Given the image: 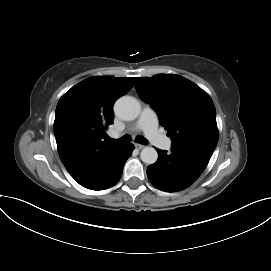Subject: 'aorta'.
Wrapping results in <instances>:
<instances>
[{"instance_id": "1", "label": "aorta", "mask_w": 271, "mask_h": 271, "mask_svg": "<svg viewBox=\"0 0 271 271\" xmlns=\"http://www.w3.org/2000/svg\"><path fill=\"white\" fill-rule=\"evenodd\" d=\"M141 106L137 99L131 96L119 98L115 105V114L123 120H134L140 114ZM141 160L146 164H154L157 161L158 154L153 147H145L140 154Z\"/></svg>"}]
</instances>
